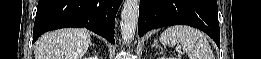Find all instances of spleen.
Listing matches in <instances>:
<instances>
[{
    "instance_id": "spleen-1",
    "label": "spleen",
    "mask_w": 261,
    "mask_h": 59,
    "mask_svg": "<svg viewBox=\"0 0 261 59\" xmlns=\"http://www.w3.org/2000/svg\"><path fill=\"white\" fill-rule=\"evenodd\" d=\"M163 45L182 46L189 59H215L211 46L199 30L185 25L167 28L159 38Z\"/></svg>"
}]
</instances>
